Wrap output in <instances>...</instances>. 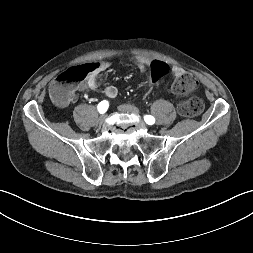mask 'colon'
Here are the masks:
<instances>
[{"label":"colon","mask_w":253,"mask_h":253,"mask_svg":"<svg viewBox=\"0 0 253 253\" xmlns=\"http://www.w3.org/2000/svg\"><path fill=\"white\" fill-rule=\"evenodd\" d=\"M94 65L88 64L69 68L61 73L55 83L51 87L52 99L60 105L67 104L74 92L76 83L83 81L87 74L93 71ZM169 65L162 63L159 60H154L150 63V84L142 94L143 98H148L149 94L156 90L160 84V77L168 74ZM198 85L197 78L191 73H182L172 83V91L177 95H184L194 90ZM204 108L203 101L198 97H191L182 101L178 106V111L182 116H196L202 112Z\"/></svg>","instance_id":"1"}]
</instances>
